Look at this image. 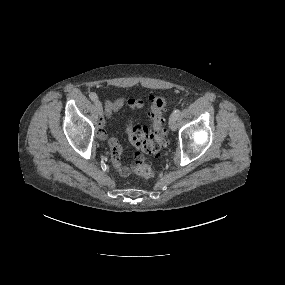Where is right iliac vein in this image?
Here are the masks:
<instances>
[{
  "label": "right iliac vein",
  "instance_id": "1",
  "mask_svg": "<svg viewBox=\"0 0 285 285\" xmlns=\"http://www.w3.org/2000/svg\"><path fill=\"white\" fill-rule=\"evenodd\" d=\"M94 104H95V108L98 111V113L102 114L103 107H102L101 102L99 100H95Z\"/></svg>",
  "mask_w": 285,
  "mask_h": 285
}]
</instances>
